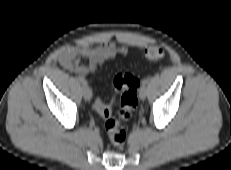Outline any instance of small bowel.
<instances>
[{"label": "small bowel", "mask_w": 231, "mask_h": 170, "mask_svg": "<svg viewBox=\"0 0 231 170\" xmlns=\"http://www.w3.org/2000/svg\"><path fill=\"white\" fill-rule=\"evenodd\" d=\"M126 55L127 49L115 42L107 41L99 46L80 44L64 48L59 55V63L65 69L75 73L79 77L96 71L97 64L116 56ZM82 60H88V65Z\"/></svg>", "instance_id": "obj_1"}]
</instances>
